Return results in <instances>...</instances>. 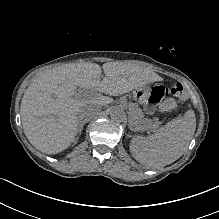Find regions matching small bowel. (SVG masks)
<instances>
[{
  "instance_id": "obj_1",
  "label": "small bowel",
  "mask_w": 219,
  "mask_h": 219,
  "mask_svg": "<svg viewBox=\"0 0 219 219\" xmlns=\"http://www.w3.org/2000/svg\"><path fill=\"white\" fill-rule=\"evenodd\" d=\"M166 92H167V89H166V88H164V87H158V88L156 89V96L159 97V98H161L164 94H166ZM154 110H155V105H154V103L150 104V105L147 107V111H148L149 113H153Z\"/></svg>"
}]
</instances>
